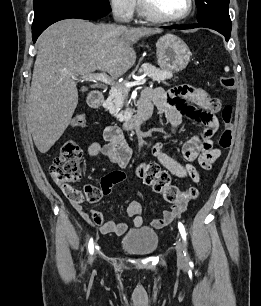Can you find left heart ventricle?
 <instances>
[{
    "instance_id": "b2bd125f",
    "label": "left heart ventricle",
    "mask_w": 261,
    "mask_h": 306,
    "mask_svg": "<svg viewBox=\"0 0 261 306\" xmlns=\"http://www.w3.org/2000/svg\"><path fill=\"white\" fill-rule=\"evenodd\" d=\"M163 15L173 17L183 14L188 7V0H150Z\"/></svg>"
}]
</instances>
